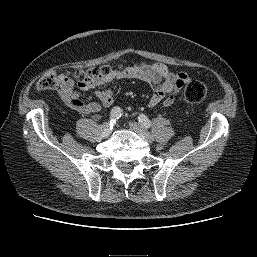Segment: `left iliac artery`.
Segmentation results:
<instances>
[{
  "instance_id": "44dca946",
  "label": "left iliac artery",
  "mask_w": 257,
  "mask_h": 257,
  "mask_svg": "<svg viewBox=\"0 0 257 257\" xmlns=\"http://www.w3.org/2000/svg\"><path fill=\"white\" fill-rule=\"evenodd\" d=\"M138 121L141 123V125H143L146 128H150L151 126L150 120L144 114L139 115Z\"/></svg>"
}]
</instances>
